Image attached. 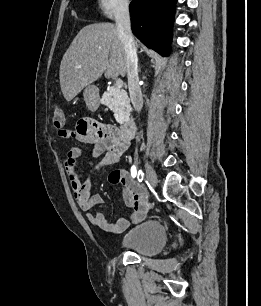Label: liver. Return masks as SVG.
<instances>
[{
    "mask_svg": "<svg viewBox=\"0 0 261 306\" xmlns=\"http://www.w3.org/2000/svg\"><path fill=\"white\" fill-rule=\"evenodd\" d=\"M126 72L127 57L116 26L90 24L79 31L62 58L61 91L69 102L103 73L106 78H116L125 76Z\"/></svg>",
    "mask_w": 261,
    "mask_h": 306,
    "instance_id": "liver-1",
    "label": "liver"
}]
</instances>
